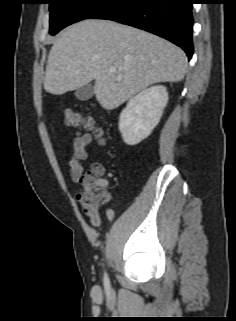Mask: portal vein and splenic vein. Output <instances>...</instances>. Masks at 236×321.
Here are the masks:
<instances>
[{
  "instance_id": "18ae733b",
  "label": "portal vein and splenic vein",
  "mask_w": 236,
  "mask_h": 321,
  "mask_svg": "<svg viewBox=\"0 0 236 321\" xmlns=\"http://www.w3.org/2000/svg\"><path fill=\"white\" fill-rule=\"evenodd\" d=\"M110 71L111 72H116V68L115 67H110Z\"/></svg>"
}]
</instances>
